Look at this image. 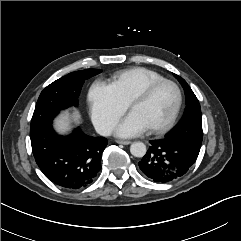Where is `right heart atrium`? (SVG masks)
<instances>
[{"label":"right heart atrium","mask_w":241,"mask_h":241,"mask_svg":"<svg viewBox=\"0 0 241 241\" xmlns=\"http://www.w3.org/2000/svg\"><path fill=\"white\" fill-rule=\"evenodd\" d=\"M90 113L97 130L109 134L128 108L114 87L103 81L94 82L88 93Z\"/></svg>","instance_id":"1"}]
</instances>
